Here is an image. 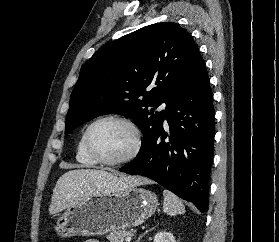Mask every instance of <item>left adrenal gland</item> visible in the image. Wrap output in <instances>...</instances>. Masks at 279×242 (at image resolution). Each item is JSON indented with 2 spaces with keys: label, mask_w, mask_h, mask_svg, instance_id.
Listing matches in <instances>:
<instances>
[{
  "label": "left adrenal gland",
  "mask_w": 279,
  "mask_h": 242,
  "mask_svg": "<svg viewBox=\"0 0 279 242\" xmlns=\"http://www.w3.org/2000/svg\"><path fill=\"white\" fill-rule=\"evenodd\" d=\"M153 229H154V228H151V229H149V230H146L142 235L139 236V238H138V240H137L136 242H139L140 239H141L146 233H148L149 231H151V230H153Z\"/></svg>",
  "instance_id": "1"
}]
</instances>
